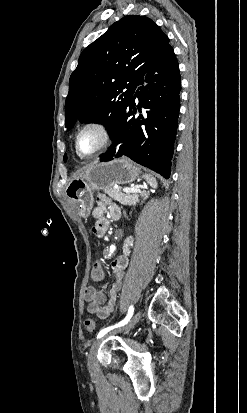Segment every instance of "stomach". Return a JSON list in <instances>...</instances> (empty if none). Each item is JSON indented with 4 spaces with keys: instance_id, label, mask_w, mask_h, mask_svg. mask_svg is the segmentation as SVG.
<instances>
[{
    "instance_id": "obj_1",
    "label": "stomach",
    "mask_w": 247,
    "mask_h": 413,
    "mask_svg": "<svg viewBox=\"0 0 247 413\" xmlns=\"http://www.w3.org/2000/svg\"><path fill=\"white\" fill-rule=\"evenodd\" d=\"M138 168L128 158H116L109 162H94L78 176L69 180L65 194L77 204L81 217H89L94 204V190L111 188L114 184H127L138 178Z\"/></svg>"
}]
</instances>
